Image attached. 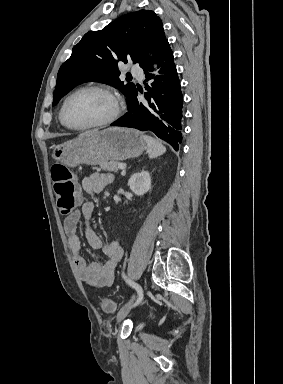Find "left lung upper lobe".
<instances>
[{"mask_svg": "<svg viewBox=\"0 0 283 384\" xmlns=\"http://www.w3.org/2000/svg\"><path fill=\"white\" fill-rule=\"evenodd\" d=\"M167 42L162 21L151 10L123 15L102 30L86 33L59 69L52 105L76 85L89 81L109 83L120 89L129 101L136 86L120 81L118 62L127 63L132 59L144 68ZM145 46L153 58L147 56Z\"/></svg>", "mask_w": 283, "mask_h": 384, "instance_id": "left-lung-upper-lobe-1", "label": "left lung upper lobe"}]
</instances>
